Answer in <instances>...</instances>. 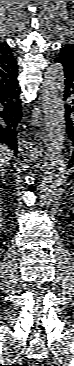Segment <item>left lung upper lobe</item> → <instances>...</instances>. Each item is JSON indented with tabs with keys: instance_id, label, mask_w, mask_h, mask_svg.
Listing matches in <instances>:
<instances>
[{
	"instance_id": "left-lung-upper-lobe-1",
	"label": "left lung upper lobe",
	"mask_w": 74,
	"mask_h": 366,
	"mask_svg": "<svg viewBox=\"0 0 74 366\" xmlns=\"http://www.w3.org/2000/svg\"><path fill=\"white\" fill-rule=\"evenodd\" d=\"M55 60H60L65 66L74 69V44L62 47Z\"/></svg>"
}]
</instances>
